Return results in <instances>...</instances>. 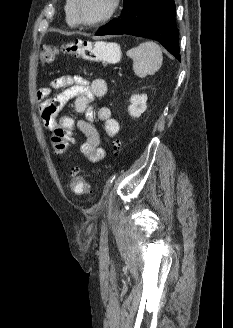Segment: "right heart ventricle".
Segmentation results:
<instances>
[{
    "label": "right heart ventricle",
    "mask_w": 233,
    "mask_h": 328,
    "mask_svg": "<svg viewBox=\"0 0 233 328\" xmlns=\"http://www.w3.org/2000/svg\"><path fill=\"white\" fill-rule=\"evenodd\" d=\"M65 16L69 26L76 27L78 25L74 14V0H66Z\"/></svg>",
    "instance_id": "1"
}]
</instances>
